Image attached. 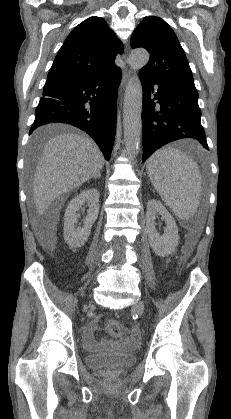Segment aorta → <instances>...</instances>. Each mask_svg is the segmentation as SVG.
I'll return each mask as SVG.
<instances>
[{"instance_id": "obj_1", "label": "aorta", "mask_w": 231, "mask_h": 419, "mask_svg": "<svg viewBox=\"0 0 231 419\" xmlns=\"http://www.w3.org/2000/svg\"><path fill=\"white\" fill-rule=\"evenodd\" d=\"M148 61L149 53L145 49L132 51L128 59L130 67L134 70V75L130 78L125 90L123 128L125 148L130 159L135 158L139 151L142 134V85L138 71Z\"/></svg>"}]
</instances>
